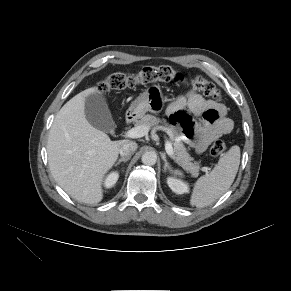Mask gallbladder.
Segmentation results:
<instances>
[{"instance_id":"obj_1","label":"gallbladder","mask_w":291,"mask_h":291,"mask_svg":"<svg viewBox=\"0 0 291 291\" xmlns=\"http://www.w3.org/2000/svg\"><path fill=\"white\" fill-rule=\"evenodd\" d=\"M85 116L88 122L97 129L113 134L115 123L105 99L97 94L85 98Z\"/></svg>"}]
</instances>
